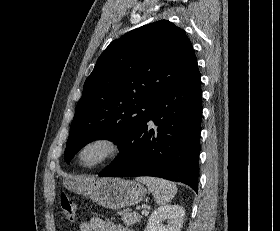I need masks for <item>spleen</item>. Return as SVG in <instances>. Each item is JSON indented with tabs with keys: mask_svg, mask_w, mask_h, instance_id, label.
Instances as JSON below:
<instances>
[{
	"mask_svg": "<svg viewBox=\"0 0 280 231\" xmlns=\"http://www.w3.org/2000/svg\"><path fill=\"white\" fill-rule=\"evenodd\" d=\"M137 181L146 183L150 191H152L158 205H165L173 199L177 193V187L172 181L161 179V177H136Z\"/></svg>",
	"mask_w": 280,
	"mask_h": 231,
	"instance_id": "3e777b00",
	"label": "spleen"
}]
</instances>
